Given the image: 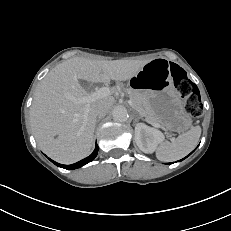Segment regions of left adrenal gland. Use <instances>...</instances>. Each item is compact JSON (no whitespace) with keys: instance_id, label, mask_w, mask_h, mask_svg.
Instances as JSON below:
<instances>
[{"instance_id":"a2214340","label":"left adrenal gland","mask_w":231,"mask_h":231,"mask_svg":"<svg viewBox=\"0 0 231 231\" xmlns=\"http://www.w3.org/2000/svg\"><path fill=\"white\" fill-rule=\"evenodd\" d=\"M139 119H142V117L139 116L137 113H135L134 121L136 122V121L139 120Z\"/></svg>"}]
</instances>
